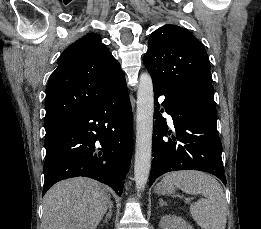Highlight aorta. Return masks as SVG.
<instances>
[{
	"instance_id": "1",
	"label": "aorta",
	"mask_w": 261,
	"mask_h": 229,
	"mask_svg": "<svg viewBox=\"0 0 261 229\" xmlns=\"http://www.w3.org/2000/svg\"><path fill=\"white\" fill-rule=\"evenodd\" d=\"M137 90L134 181L138 193L146 187L151 169L154 92L149 72H142Z\"/></svg>"
}]
</instances>
